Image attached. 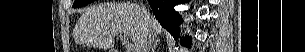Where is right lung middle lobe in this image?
Returning a JSON list of instances; mask_svg holds the SVG:
<instances>
[{
  "label": "right lung middle lobe",
  "mask_w": 305,
  "mask_h": 52,
  "mask_svg": "<svg viewBox=\"0 0 305 52\" xmlns=\"http://www.w3.org/2000/svg\"><path fill=\"white\" fill-rule=\"evenodd\" d=\"M92 1H94V0H75L73 7L74 8L82 7V6H85L89 3H91Z\"/></svg>",
  "instance_id": "dd1d6c3e"
}]
</instances>
